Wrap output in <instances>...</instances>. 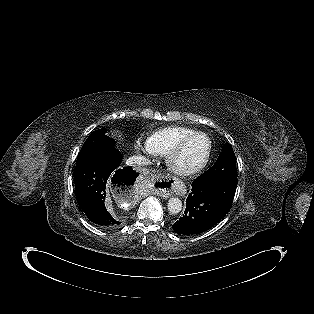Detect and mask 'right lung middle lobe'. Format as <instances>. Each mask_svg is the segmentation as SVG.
I'll list each match as a JSON object with an SVG mask.
<instances>
[{"label":"right lung middle lobe","instance_id":"right-lung-middle-lobe-1","mask_svg":"<svg viewBox=\"0 0 314 314\" xmlns=\"http://www.w3.org/2000/svg\"><path fill=\"white\" fill-rule=\"evenodd\" d=\"M106 132V129H98L89 135L78 154L76 166L96 158L115 146L114 141L106 135Z\"/></svg>","mask_w":314,"mask_h":314}]
</instances>
